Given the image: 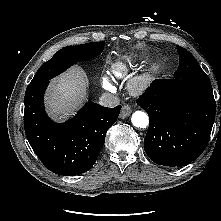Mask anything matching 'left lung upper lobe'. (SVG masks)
Instances as JSON below:
<instances>
[{"label": "left lung upper lobe", "mask_w": 221, "mask_h": 221, "mask_svg": "<svg viewBox=\"0 0 221 221\" xmlns=\"http://www.w3.org/2000/svg\"><path fill=\"white\" fill-rule=\"evenodd\" d=\"M179 54V68L174 73L175 78H198L209 79L205 72L201 69L195 58L183 47L177 46Z\"/></svg>", "instance_id": "left-lung-upper-lobe-1"}]
</instances>
